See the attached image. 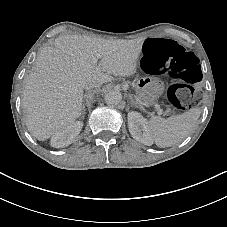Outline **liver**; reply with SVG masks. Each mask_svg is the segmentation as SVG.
Returning <instances> with one entry per match:
<instances>
[{"mask_svg":"<svg viewBox=\"0 0 227 227\" xmlns=\"http://www.w3.org/2000/svg\"><path fill=\"white\" fill-rule=\"evenodd\" d=\"M144 40L74 34L60 36L53 47H44L37 57L36 72L23 82L22 107L28 130L45 141L73 123L82 113L86 84L102 85L112 82L111 75L135 74Z\"/></svg>","mask_w":227,"mask_h":227,"instance_id":"1","label":"liver"}]
</instances>
